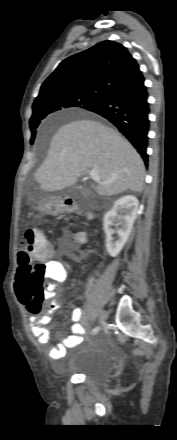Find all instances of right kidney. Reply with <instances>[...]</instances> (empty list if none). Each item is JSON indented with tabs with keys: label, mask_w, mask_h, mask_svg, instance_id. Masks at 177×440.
<instances>
[{
	"label": "right kidney",
	"mask_w": 177,
	"mask_h": 440,
	"mask_svg": "<svg viewBox=\"0 0 177 440\" xmlns=\"http://www.w3.org/2000/svg\"><path fill=\"white\" fill-rule=\"evenodd\" d=\"M137 213L138 199L133 195H126L116 200L111 210L105 214L103 228L106 234V249L110 256L116 257L124 247ZM117 220L121 221V228L117 230L118 240L114 241L112 225Z\"/></svg>",
	"instance_id": "1"
}]
</instances>
